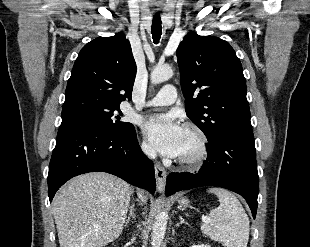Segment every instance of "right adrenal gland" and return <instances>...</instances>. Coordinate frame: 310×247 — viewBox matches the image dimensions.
<instances>
[{
    "mask_svg": "<svg viewBox=\"0 0 310 247\" xmlns=\"http://www.w3.org/2000/svg\"><path fill=\"white\" fill-rule=\"evenodd\" d=\"M131 217L135 219L133 205L130 206V212H129V215H128L127 219L124 222V227H126L128 225V223L130 222Z\"/></svg>",
    "mask_w": 310,
    "mask_h": 247,
    "instance_id": "right-adrenal-gland-1",
    "label": "right adrenal gland"
}]
</instances>
